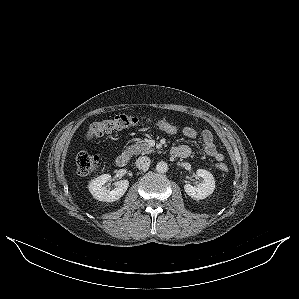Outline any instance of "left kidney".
<instances>
[{
    "instance_id": "obj_1",
    "label": "left kidney",
    "mask_w": 299,
    "mask_h": 299,
    "mask_svg": "<svg viewBox=\"0 0 299 299\" xmlns=\"http://www.w3.org/2000/svg\"><path fill=\"white\" fill-rule=\"evenodd\" d=\"M196 174L197 176L203 178V182L199 183L197 187H193L190 184H185L184 190L190 197L202 200L213 193L215 189V179L209 171L204 169H198Z\"/></svg>"
}]
</instances>
